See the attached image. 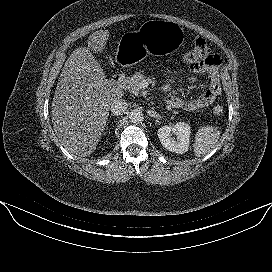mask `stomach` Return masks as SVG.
Here are the masks:
<instances>
[{"mask_svg":"<svg viewBox=\"0 0 272 272\" xmlns=\"http://www.w3.org/2000/svg\"><path fill=\"white\" fill-rule=\"evenodd\" d=\"M185 39L183 28L167 20H148L137 31L125 33L118 42L116 62L129 67L146 54L176 51Z\"/></svg>","mask_w":272,"mask_h":272,"instance_id":"stomach-1","label":"stomach"}]
</instances>
